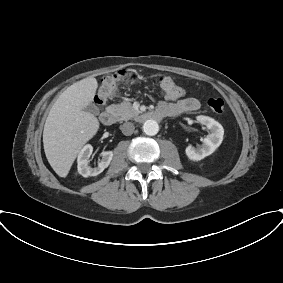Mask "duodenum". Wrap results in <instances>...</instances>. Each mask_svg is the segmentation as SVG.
Listing matches in <instances>:
<instances>
[{
  "instance_id": "410a0bca",
  "label": "duodenum",
  "mask_w": 283,
  "mask_h": 283,
  "mask_svg": "<svg viewBox=\"0 0 283 283\" xmlns=\"http://www.w3.org/2000/svg\"><path fill=\"white\" fill-rule=\"evenodd\" d=\"M172 114L173 113L170 110L147 111L139 115V120L141 122H145L148 120L158 121L164 117H170ZM115 118H116L115 112L111 109L103 111L99 116L101 123L104 125L112 124L115 121Z\"/></svg>"
}]
</instances>
